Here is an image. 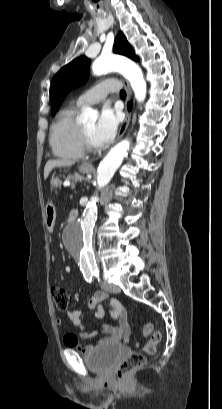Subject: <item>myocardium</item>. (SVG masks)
Wrapping results in <instances>:
<instances>
[{"label":"myocardium","mask_w":222,"mask_h":409,"mask_svg":"<svg viewBox=\"0 0 222 409\" xmlns=\"http://www.w3.org/2000/svg\"><path fill=\"white\" fill-rule=\"evenodd\" d=\"M80 144L83 151L90 153L97 151V147L91 144L89 137L82 125L80 126Z\"/></svg>","instance_id":"f54148a6"}]
</instances>
